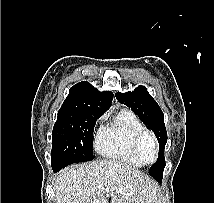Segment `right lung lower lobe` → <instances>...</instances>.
<instances>
[{
  "label": "right lung lower lobe",
  "mask_w": 214,
  "mask_h": 203,
  "mask_svg": "<svg viewBox=\"0 0 214 203\" xmlns=\"http://www.w3.org/2000/svg\"><path fill=\"white\" fill-rule=\"evenodd\" d=\"M54 172H58L59 170L53 169Z\"/></svg>",
  "instance_id": "obj_1"
}]
</instances>
